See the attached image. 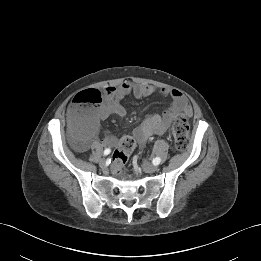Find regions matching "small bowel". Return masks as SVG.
Masks as SVG:
<instances>
[{"label":"small bowel","mask_w":261,"mask_h":261,"mask_svg":"<svg viewBox=\"0 0 261 261\" xmlns=\"http://www.w3.org/2000/svg\"><path fill=\"white\" fill-rule=\"evenodd\" d=\"M155 93L170 97L172 102L162 115L156 113L149 115L133 130L131 136H128L132 137L140 146L145 145L152 135H163L168 132L172 121L178 115L191 116L192 109L179 90L156 88L148 84L125 81L118 86H109L105 89L103 102L95 108L92 124L84 133L82 142L74 143L75 149L86 150L88 148V142L96 133L101 121L112 115L125 116L126 110L121 103L125 97L133 95L137 98H145ZM99 141L104 146L114 147L118 144L119 138L114 135H104Z\"/></svg>","instance_id":"1"}]
</instances>
